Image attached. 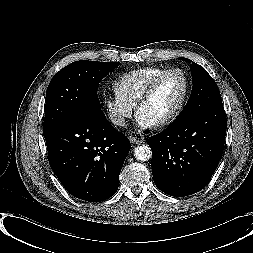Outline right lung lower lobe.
Returning <instances> with one entry per match:
<instances>
[{"label":"right lung lower lobe","mask_w":253,"mask_h":253,"mask_svg":"<svg viewBox=\"0 0 253 253\" xmlns=\"http://www.w3.org/2000/svg\"><path fill=\"white\" fill-rule=\"evenodd\" d=\"M50 166L74 197L101 202L113 196L131 148L105 115L80 112L45 136Z\"/></svg>","instance_id":"right-lung-lower-lobe-1"}]
</instances>
